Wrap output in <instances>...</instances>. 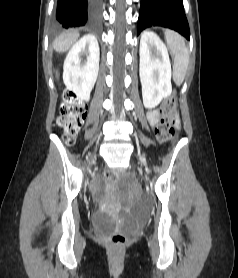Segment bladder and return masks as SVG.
Listing matches in <instances>:
<instances>
[{
    "label": "bladder",
    "instance_id": "31cf9c89",
    "mask_svg": "<svg viewBox=\"0 0 238 278\" xmlns=\"http://www.w3.org/2000/svg\"><path fill=\"white\" fill-rule=\"evenodd\" d=\"M93 223L96 227L101 229H110L116 225V222L109 215L102 212L94 214Z\"/></svg>",
    "mask_w": 238,
    "mask_h": 278
}]
</instances>
